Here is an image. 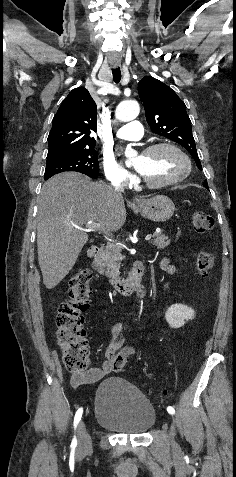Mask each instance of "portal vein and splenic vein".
Segmentation results:
<instances>
[{"label":"portal vein and splenic vein","instance_id":"1","mask_svg":"<svg viewBox=\"0 0 236 477\" xmlns=\"http://www.w3.org/2000/svg\"><path fill=\"white\" fill-rule=\"evenodd\" d=\"M86 230H97V231H100V232H103L105 234H108L110 235V232L109 230H107L102 224L100 223H93V222H90V223H87L86 224ZM151 234H148L146 237H145V240L146 241H149L151 239Z\"/></svg>","mask_w":236,"mask_h":477}]
</instances>
